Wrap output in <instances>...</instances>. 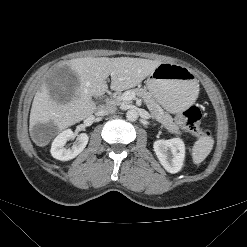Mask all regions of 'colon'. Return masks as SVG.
<instances>
[{
    "mask_svg": "<svg viewBox=\"0 0 247 247\" xmlns=\"http://www.w3.org/2000/svg\"><path fill=\"white\" fill-rule=\"evenodd\" d=\"M176 119L183 129L193 135L205 137L209 134L208 131L202 129L200 126L201 111L196 106L187 108L184 112L179 114Z\"/></svg>",
    "mask_w": 247,
    "mask_h": 247,
    "instance_id": "5ec220e1",
    "label": "colon"
}]
</instances>
